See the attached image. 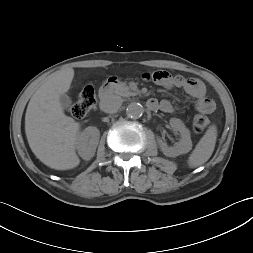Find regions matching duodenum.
<instances>
[{
    "instance_id": "410a0bca",
    "label": "duodenum",
    "mask_w": 253,
    "mask_h": 253,
    "mask_svg": "<svg viewBox=\"0 0 253 253\" xmlns=\"http://www.w3.org/2000/svg\"><path fill=\"white\" fill-rule=\"evenodd\" d=\"M118 83L117 78H110L100 89L99 91V97L102 101H105L108 98L109 92L113 86H115ZM147 106L151 110H155L158 107V103L155 99H150L147 102Z\"/></svg>"
}]
</instances>
